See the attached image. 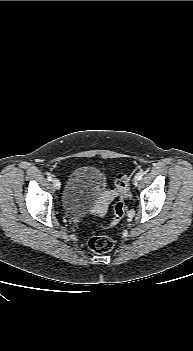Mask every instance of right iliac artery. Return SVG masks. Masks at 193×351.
Returning <instances> with one entry per match:
<instances>
[{"label":"right iliac artery","mask_w":193,"mask_h":351,"mask_svg":"<svg viewBox=\"0 0 193 351\" xmlns=\"http://www.w3.org/2000/svg\"><path fill=\"white\" fill-rule=\"evenodd\" d=\"M47 179H48L49 181H52V176H51V175H48Z\"/></svg>","instance_id":"right-iliac-artery-1"}]
</instances>
